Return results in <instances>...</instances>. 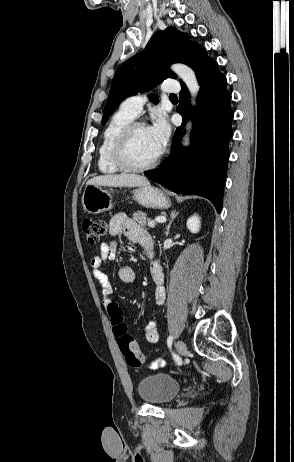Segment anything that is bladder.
I'll use <instances>...</instances> for the list:
<instances>
[{"label": "bladder", "mask_w": 294, "mask_h": 462, "mask_svg": "<svg viewBox=\"0 0 294 462\" xmlns=\"http://www.w3.org/2000/svg\"><path fill=\"white\" fill-rule=\"evenodd\" d=\"M179 390L180 383L165 373L143 377L137 383V392L141 400L154 406L169 403L177 396Z\"/></svg>", "instance_id": "1"}]
</instances>
